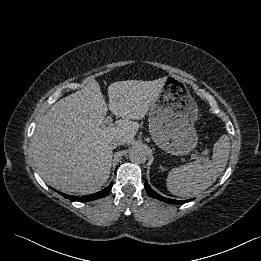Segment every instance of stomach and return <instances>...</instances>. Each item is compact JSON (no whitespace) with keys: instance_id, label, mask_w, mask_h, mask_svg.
I'll list each match as a JSON object with an SVG mask.
<instances>
[{"instance_id":"0dacf381","label":"stomach","mask_w":261,"mask_h":261,"mask_svg":"<svg viewBox=\"0 0 261 261\" xmlns=\"http://www.w3.org/2000/svg\"><path fill=\"white\" fill-rule=\"evenodd\" d=\"M149 110V132L156 145L171 155H186L198 143V105L182 78L169 75Z\"/></svg>"}]
</instances>
